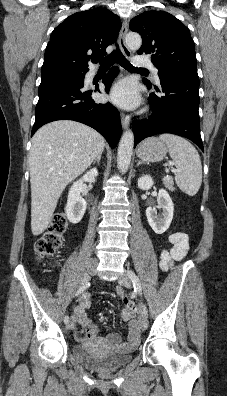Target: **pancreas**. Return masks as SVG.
I'll use <instances>...</instances> for the list:
<instances>
[{"label": "pancreas", "instance_id": "pancreas-1", "mask_svg": "<svg viewBox=\"0 0 227 396\" xmlns=\"http://www.w3.org/2000/svg\"><path fill=\"white\" fill-rule=\"evenodd\" d=\"M163 183H164L165 187L168 188L169 190H171V191L175 190L172 177H164Z\"/></svg>", "mask_w": 227, "mask_h": 396}]
</instances>
